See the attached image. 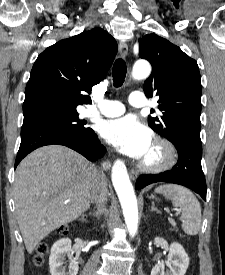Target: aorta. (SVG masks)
I'll use <instances>...</instances> for the list:
<instances>
[{
	"label": "aorta",
	"instance_id": "obj_1",
	"mask_svg": "<svg viewBox=\"0 0 225 275\" xmlns=\"http://www.w3.org/2000/svg\"><path fill=\"white\" fill-rule=\"evenodd\" d=\"M151 66L146 61L137 62L132 70L134 79H144L150 75ZM112 183L118 195L125 223L133 237L138 229V206L132 183L124 161L118 159L112 167Z\"/></svg>",
	"mask_w": 225,
	"mask_h": 275
}]
</instances>
